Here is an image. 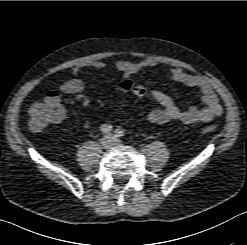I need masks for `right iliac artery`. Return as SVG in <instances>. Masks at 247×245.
Returning <instances> with one entry per match:
<instances>
[{"label": "right iliac artery", "instance_id": "obj_1", "mask_svg": "<svg viewBox=\"0 0 247 245\" xmlns=\"http://www.w3.org/2000/svg\"><path fill=\"white\" fill-rule=\"evenodd\" d=\"M100 130L103 133H109L110 131H112V126L109 124H103L101 125Z\"/></svg>", "mask_w": 247, "mask_h": 245}]
</instances>
